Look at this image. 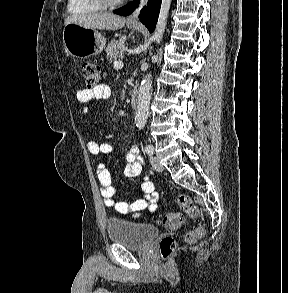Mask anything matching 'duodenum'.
I'll list each match as a JSON object with an SVG mask.
<instances>
[{"instance_id": "1", "label": "duodenum", "mask_w": 288, "mask_h": 293, "mask_svg": "<svg viewBox=\"0 0 288 293\" xmlns=\"http://www.w3.org/2000/svg\"><path fill=\"white\" fill-rule=\"evenodd\" d=\"M138 100H139V91L138 89L135 87L131 93V97H130V104L133 108H135L138 104Z\"/></svg>"}]
</instances>
